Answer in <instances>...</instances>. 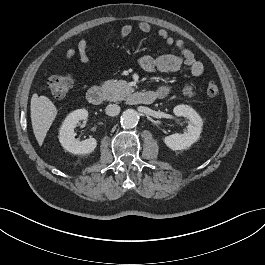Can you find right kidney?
<instances>
[{"mask_svg": "<svg viewBox=\"0 0 265 265\" xmlns=\"http://www.w3.org/2000/svg\"><path fill=\"white\" fill-rule=\"evenodd\" d=\"M88 117L86 109H78L71 112L60 127L59 141L62 147L73 154H89L94 151L97 141L90 137L82 142L75 139L74 128L80 120Z\"/></svg>", "mask_w": 265, "mask_h": 265, "instance_id": "ca27d5eb", "label": "right kidney"}]
</instances>
